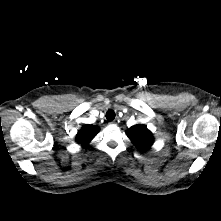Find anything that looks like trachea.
Masks as SVG:
<instances>
[{
	"label": "trachea",
	"mask_w": 221,
	"mask_h": 221,
	"mask_svg": "<svg viewBox=\"0 0 221 221\" xmlns=\"http://www.w3.org/2000/svg\"><path fill=\"white\" fill-rule=\"evenodd\" d=\"M106 118L108 121H112L115 118V112L113 110H108L106 113Z\"/></svg>",
	"instance_id": "3493384b"
}]
</instances>
